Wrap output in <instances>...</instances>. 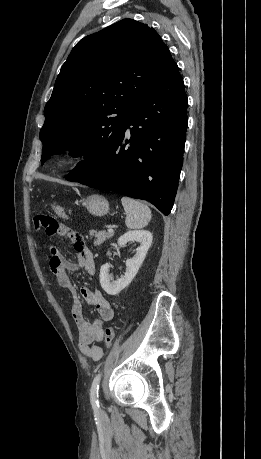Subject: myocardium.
<instances>
[{"label": "myocardium", "instance_id": "1", "mask_svg": "<svg viewBox=\"0 0 261 459\" xmlns=\"http://www.w3.org/2000/svg\"><path fill=\"white\" fill-rule=\"evenodd\" d=\"M79 149L75 146L69 147L60 158L61 163H70L79 157Z\"/></svg>", "mask_w": 261, "mask_h": 459}]
</instances>
